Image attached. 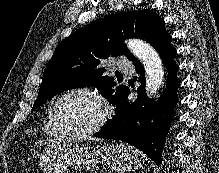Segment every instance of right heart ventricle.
Masks as SVG:
<instances>
[{
  "instance_id": "1",
  "label": "right heart ventricle",
  "mask_w": 219,
  "mask_h": 173,
  "mask_svg": "<svg viewBox=\"0 0 219 173\" xmlns=\"http://www.w3.org/2000/svg\"><path fill=\"white\" fill-rule=\"evenodd\" d=\"M51 112H52V105L48 108L46 114L44 132L50 136H61L63 134L53 124Z\"/></svg>"
}]
</instances>
